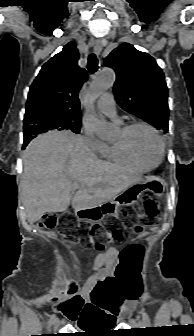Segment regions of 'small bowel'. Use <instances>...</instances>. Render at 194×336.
<instances>
[{"label": "small bowel", "mask_w": 194, "mask_h": 336, "mask_svg": "<svg viewBox=\"0 0 194 336\" xmlns=\"http://www.w3.org/2000/svg\"><path fill=\"white\" fill-rule=\"evenodd\" d=\"M120 251L109 248L96 256L94 273L81 288V294L86 299L85 308L78 321L84 328L90 323H103L118 318V304L123 290L117 282L115 269L119 263Z\"/></svg>", "instance_id": "c3829d8e"}]
</instances>
